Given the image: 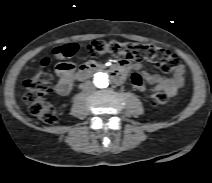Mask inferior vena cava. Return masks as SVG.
<instances>
[{
  "mask_svg": "<svg viewBox=\"0 0 212 183\" xmlns=\"http://www.w3.org/2000/svg\"><path fill=\"white\" fill-rule=\"evenodd\" d=\"M95 89V87L93 86V84L91 82H86L83 84V90L86 92H91Z\"/></svg>",
  "mask_w": 212,
  "mask_h": 183,
  "instance_id": "inferior-vena-cava-1",
  "label": "inferior vena cava"
}]
</instances>
